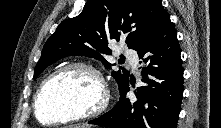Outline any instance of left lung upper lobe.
<instances>
[{
	"instance_id": "obj_1",
	"label": "left lung upper lobe",
	"mask_w": 221,
	"mask_h": 128,
	"mask_svg": "<svg viewBox=\"0 0 221 128\" xmlns=\"http://www.w3.org/2000/svg\"><path fill=\"white\" fill-rule=\"evenodd\" d=\"M168 12L161 0H87L81 14L65 19L46 41L35 67L34 79L55 61L70 55L94 57L108 69L103 55L108 42L125 40L137 50L158 27ZM112 72L121 90L129 81L124 68Z\"/></svg>"
}]
</instances>
